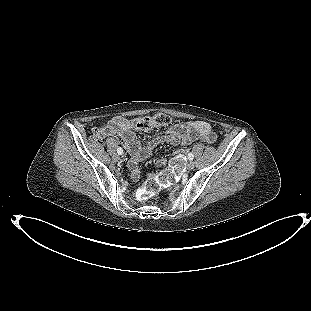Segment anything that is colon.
I'll return each instance as SVG.
<instances>
[{
  "label": "colon",
  "mask_w": 311,
  "mask_h": 311,
  "mask_svg": "<svg viewBox=\"0 0 311 311\" xmlns=\"http://www.w3.org/2000/svg\"><path fill=\"white\" fill-rule=\"evenodd\" d=\"M171 122V118L163 113H157L152 116L142 117L134 120H127V124L131 127L141 129H152L155 127L166 126ZM120 126L118 121L108 123L103 127H98L93 130L92 138L95 141H100L109 135L116 134ZM179 170L177 161H172L170 167L161 171L157 175L149 178L143 186L138 190L137 197L139 200L148 199L156 195L162 188L170 185L175 180Z\"/></svg>",
  "instance_id": "5ec220e1"
}]
</instances>
